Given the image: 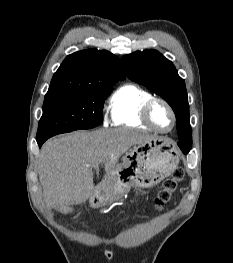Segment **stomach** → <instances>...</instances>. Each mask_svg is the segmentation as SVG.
<instances>
[{
    "label": "stomach",
    "instance_id": "0dacf381",
    "mask_svg": "<svg viewBox=\"0 0 233 263\" xmlns=\"http://www.w3.org/2000/svg\"><path fill=\"white\" fill-rule=\"evenodd\" d=\"M179 164L175 145L163 137H154L131 149L114 173L106 180L99 195L90 199L92 207L118 200L136 186L150 188L170 176Z\"/></svg>",
    "mask_w": 233,
    "mask_h": 263
}]
</instances>
